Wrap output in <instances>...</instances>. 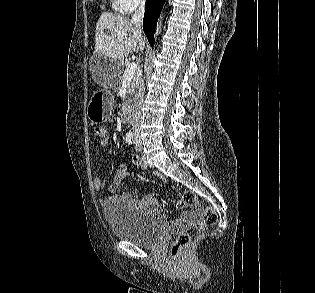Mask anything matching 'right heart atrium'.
Here are the masks:
<instances>
[{
  "mask_svg": "<svg viewBox=\"0 0 315 293\" xmlns=\"http://www.w3.org/2000/svg\"><path fill=\"white\" fill-rule=\"evenodd\" d=\"M124 12H132L141 6L145 0H118Z\"/></svg>",
  "mask_w": 315,
  "mask_h": 293,
  "instance_id": "d8ad5b80",
  "label": "right heart atrium"
}]
</instances>
